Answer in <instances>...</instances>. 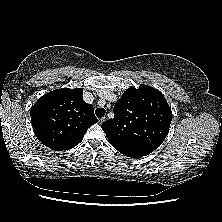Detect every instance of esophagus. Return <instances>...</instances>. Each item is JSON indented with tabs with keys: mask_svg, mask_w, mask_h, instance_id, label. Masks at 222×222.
<instances>
[{
	"mask_svg": "<svg viewBox=\"0 0 222 222\" xmlns=\"http://www.w3.org/2000/svg\"><path fill=\"white\" fill-rule=\"evenodd\" d=\"M105 120H106V118H105V117H102V118H99V119H98V122L101 124V123H103Z\"/></svg>",
	"mask_w": 222,
	"mask_h": 222,
	"instance_id": "1",
	"label": "esophagus"
}]
</instances>
